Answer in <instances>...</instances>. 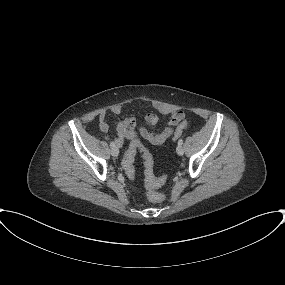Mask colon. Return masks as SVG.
I'll return each instance as SVG.
<instances>
[{
  "mask_svg": "<svg viewBox=\"0 0 285 285\" xmlns=\"http://www.w3.org/2000/svg\"><path fill=\"white\" fill-rule=\"evenodd\" d=\"M186 127L187 124L185 122H181L174 132V138H177L185 130ZM137 149H140L142 151L146 184L150 185L151 188H157L161 186L165 182V178H158L154 175L153 157L146 149L141 148L138 143H132L123 158L122 164L126 175L130 179L135 178L134 157ZM148 198L154 203H163L165 200L164 195L157 191H150L148 193Z\"/></svg>",
  "mask_w": 285,
  "mask_h": 285,
  "instance_id": "5ec220e1",
  "label": "colon"
}]
</instances>
